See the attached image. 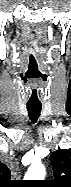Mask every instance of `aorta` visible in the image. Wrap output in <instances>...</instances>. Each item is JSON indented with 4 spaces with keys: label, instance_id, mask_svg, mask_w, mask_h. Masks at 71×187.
I'll return each mask as SVG.
<instances>
[{
    "label": "aorta",
    "instance_id": "obj_1",
    "mask_svg": "<svg viewBox=\"0 0 71 187\" xmlns=\"http://www.w3.org/2000/svg\"><path fill=\"white\" fill-rule=\"evenodd\" d=\"M45 173V167L41 163H33L29 167L25 178L28 180H44Z\"/></svg>",
    "mask_w": 71,
    "mask_h": 187
}]
</instances>
